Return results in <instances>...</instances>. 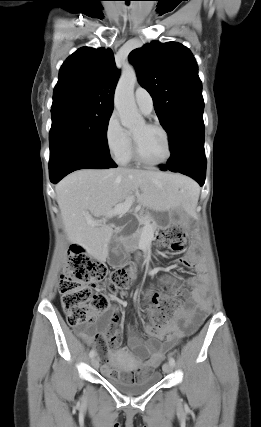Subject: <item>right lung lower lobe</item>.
<instances>
[{
	"label": "right lung lower lobe",
	"mask_w": 261,
	"mask_h": 427,
	"mask_svg": "<svg viewBox=\"0 0 261 427\" xmlns=\"http://www.w3.org/2000/svg\"><path fill=\"white\" fill-rule=\"evenodd\" d=\"M117 165L110 156L97 155L85 151L66 150L50 155V180L56 184L67 174L85 168L105 169Z\"/></svg>",
	"instance_id": "obj_1"
}]
</instances>
